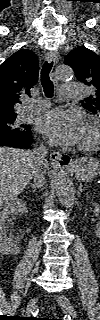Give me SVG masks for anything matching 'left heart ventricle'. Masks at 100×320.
Listing matches in <instances>:
<instances>
[{"mask_svg": "<svg viewBox=\"0 0 100 320\" xmlns=\"http://www.w3.org/2000/svg\"><path fill=\"white\" fill-rule=\"evenodd\" d=\"M89 137H90L89 131L86 128L83 127L82 135H81V142H84V141L88 140Z\"/></svg>", "mask_w": 100, "mask_h": 320, "instance_id": "1", "label": "left heart ventricle"}]
</instances>
